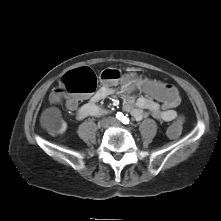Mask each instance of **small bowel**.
I'll return each mask as SVG.
<instances>
[{"instance_id": "1", "label": "small bowel", "mask_w": 221, "mask_h": 221, "mask_svg": "<svg viewBox=\"0 0 221 221\" xmlns=\"http://www.w3.org/2000/svg\"><path fill=\"white\" fill-rule=\"evenodd\" d=\"M115 92L124 100V109L136 120L152 116L163 122H172L178 116L176 107L180 102L174 108H167L159 101L151 100L146 95L136 97L127 87L117 90L110 85L99 87L83 105L79 106L78 99L75 98L67 102V107L75 112L76 118L79 120L89 116L97 117L104 113L98 103Z\"/></svg>"}]
</instances>
